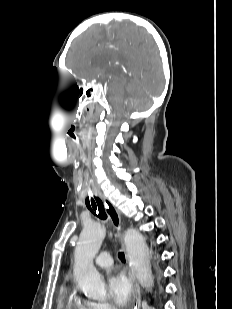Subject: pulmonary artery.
<instances>
[{"mask_svg": "<svg viewBox=\"0 0 232 309\" xmlns=\"http://www.w3.org/2000/svg\"><path fill=\"white\" fill-rule=\"evenodd\" d=\"M96 265L99 268H108L112 265L111 255L108 252L101 254L97 260Z\"/></svg>", "mask_w": 232, "mask_h": 309, "instance_id": "pulmonary-artery-1", "label": "pulmonary artery"}]
</instances>
